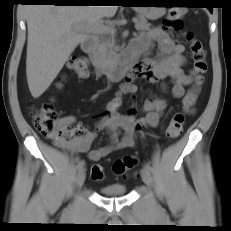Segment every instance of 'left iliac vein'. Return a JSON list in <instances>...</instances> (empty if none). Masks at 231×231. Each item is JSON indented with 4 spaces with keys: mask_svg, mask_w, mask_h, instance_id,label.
I'll list each match as a JSON object with an SVG mask.
<instances>
[{
    "mask_svg": "<svg viewBox=\"0 0 231 231\" xmlns=\"http://www.w3.org/2000/svg\"><path fill=\"white\" fill-rule=\"evenodd\" d=\"M142 180L148 187H152L153 185L152 175L147 168L142 169Z\"/></svg>",
    "mask_w": 231,
    "mask_h": 231,
    "instance_id": "left-iliac-vein-1",
    "label": "left iliac vein"
}]
</instances>
